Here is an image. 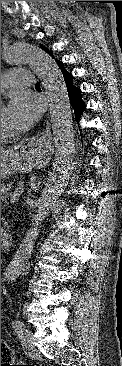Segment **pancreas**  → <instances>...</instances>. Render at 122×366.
I'll list each match as a JSON object with an SVG mask.
<instances>
[{"instance_id": "obj_1", "label": "pancreas", "mask_w": 122, "mask_h": 366, "mask_svg": "<svg viewBox=\"0 0 122 366\" xmlns=\"http://www.w3.org/2000/svg\"><path fill=\"white\" fill-rule=\"evenodd\" d=\"M12 185L11 184H1V200H4L9 195V191H11ZM18 190V189H17Z\"/></svg>"}]
</instances>
